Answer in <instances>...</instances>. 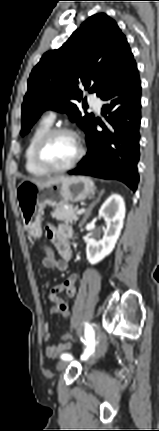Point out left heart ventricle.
<instances>
[{
    "label": "left heart ventricle",
    "mask_w": 159,
    "mask_h": 431,
    "mask_svg": "<svg viewBox=\"0 0 159 431\" xmlns=\"http://www.w3.org/2000/svg\"><path fill=\"white\" fill-rule=\"evenodd\" d=\"M77 142L69 134L53 137L44 150L45 159L55 167L69 164L77 154Z\"/></svg>",
    "instance_id": "obj_1"
}]
</instances>
